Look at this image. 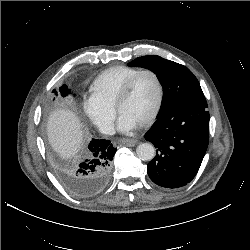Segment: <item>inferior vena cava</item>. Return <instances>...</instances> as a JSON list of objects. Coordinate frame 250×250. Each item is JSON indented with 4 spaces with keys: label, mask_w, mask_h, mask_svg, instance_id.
Segmentation results:
<instances>
[{
    "label": "inferior vena cava",
    "mask_w": 250,
    "mask_h": 250,
    "mask_svg": "<svg viewBox=\"0 0 250 250\" xmlns=\"http://www.w3.org/2000/svg\"><path fill=\"white\" fill-rule=\"evenodd\" d=\"M100 132L103 134L113 135L115 133L112 123H104L100 126Z\"/></svg>",
    "instance_id": "602c4592"
}]
</instances>
